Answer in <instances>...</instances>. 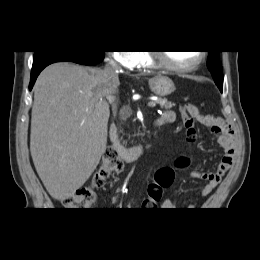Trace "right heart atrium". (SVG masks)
<instances>
[{
    "mask_svg": "<svg viewBox=\"0 0 260 260\" xmlns=\"http://www.w3.org/2000/svg\"><path fill=\"white\" fill-rule=\"evenodd\" d=\"M112 59L124 68H134L140 64L142 55L138 51H116L112 52Z\"/></svg>",
    "mask_w": 260,
    "mask_h": 260,
    "instance_id": "1",
    "label": "right heart atrium"
}]
</instances>
